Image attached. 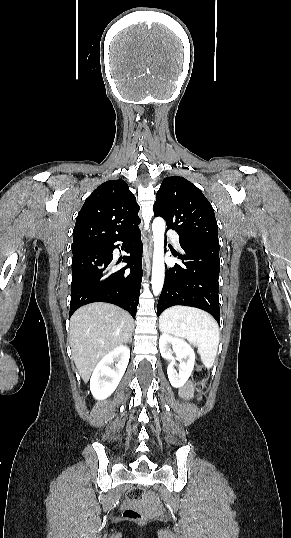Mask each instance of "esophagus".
<instances>
[{"label":"esophagus","mask_w":291,"mask_h":538,"mask_svg":"<svg viewBox=\"0 0 291 538\" xmlns=\"http://www.w3.org/2000/svg\"><path fill=\"white\" fill-rule=\"evenodd\" d=\"M150 252H152V243L149 244Z\"/></svg>","instance_id":"obj_1"}]
</instances>
